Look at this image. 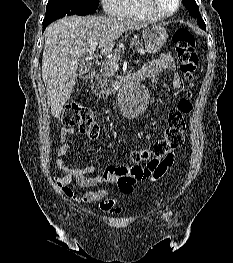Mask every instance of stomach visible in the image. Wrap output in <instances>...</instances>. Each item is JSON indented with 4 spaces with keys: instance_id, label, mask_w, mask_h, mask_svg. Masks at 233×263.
I'll return each mask as SVG.
<instances>
[{
    "instance_id": "stomach-1",
    "label": "stomach",
    "mask_w": 233,
    "mask_h": 263,
    "mask_svg": "<svg viewBox=\"0 0 233 263\" xmlns=\"http://www.w3.org/2000/svg\"><path fill=\"white\" fill-rule=\"evenodd\" d=\"M142 35L146 50L150 53L157 52L165 44L168 38L166 29L159 25L146 27L143 30Z\"/></svg>"
}]
</instances>
